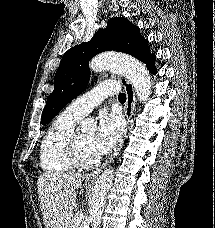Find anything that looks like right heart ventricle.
<instances>
[{"label":"right heart ventricle","mask_w":215,"mask_h":228,"mask_svg":"<svg viewBox=\"0 0 215 228\" xmlns=\"http://www.w3.org/2000/svg\"><path fill=\"white\" fill-rule=\"evenodd\" d=\"M80 119L66 109L50 124L40 145V163L44 172L63 174L75 168L65 153L64 144Z\"/></svg>","instance_id":"1"}]
</instances>
